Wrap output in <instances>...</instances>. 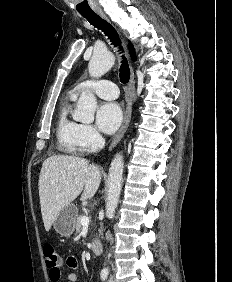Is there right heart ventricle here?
<instances>
[{
	"instance_id": "e07e8e85",
	"label": "right heart ventricle",
	"mask_w": 232,
	"mask_h": 282,
	"mask_svg": "<svg viewBox=\"0 0 232 282\" xmlns=\"http://www.w3.org/2000/svg\"><path fill=\"white\" fill-rule=\"evenodd\" d=\"M75 99L76 97L70 94L61 103L57 119V148L66 154H76L81 149L78 139L80 124L71 117L72 102Z\"/></svg>"
}]
</instances>
